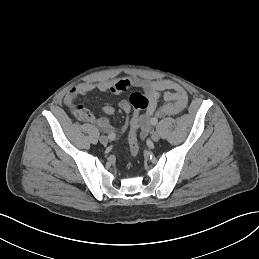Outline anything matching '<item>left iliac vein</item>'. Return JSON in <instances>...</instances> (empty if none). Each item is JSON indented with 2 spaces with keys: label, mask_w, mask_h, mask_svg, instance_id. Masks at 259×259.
<instances>
[{
  "label": "left iliac vein",
  "mask_w": 259,
  "mask_h": 259,
  "mask_svg": "<svg viewBox=\"0 0 259 259\" xmlns=\"http://www.w3.org/2000/svg\"><path fill=\"white\" fill-rule=\"evenodd\" d=\"M151 139H152L154 142L159 141V139H160L159 133H158V132H153L152 135H151Z\"/></svg>",
  "instance_id": "left-iliac-vein-1"
}]
</instances>
